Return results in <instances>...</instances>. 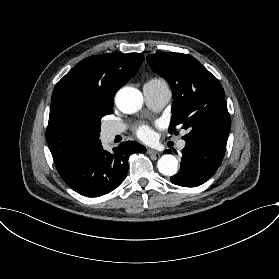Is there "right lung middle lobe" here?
Instances as JSON below:
<instances>
[{"label": "right lung middle lobe", "mask_w": 279, "mask_h": 279, "mask_svg": "<svg viewBox=\"0 0 279 279\" xmlns=\"http://www.w3.org/2000/svg\"><path fill=\"white\" fill-rule=\"evenodd\" d=\"M113 113V103L108 104L107 106L103 107V108H97L94 112H93V117L94 119L98 122V124L100 125V120L104 115H108V114H112Z\"/></svg>", "instance_id": "1"}]
</instances>
